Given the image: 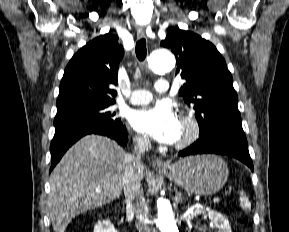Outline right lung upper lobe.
<instances>
[{"label":"right lung upper lobe","instance_id":"1","mask_svg":"<svg viewBox=\"0 0 289 232\" xmlns=\"http://www.w3.org/2000/svg\"><path fill=\"white\" fill-rule=\"evenodd\" d=\"M124 50L107 33L82 47L68 63L60 83L57 108L77 103H115L119 62Z\"/></svg>","mask_w":289,"mask_h":232}]
</instances>
